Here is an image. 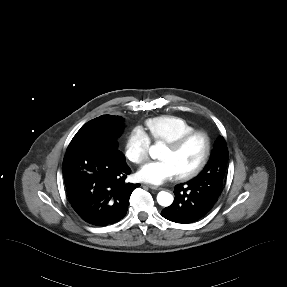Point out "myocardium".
<instances>
[{
  "instance_id": "1",
  "label": "myocardium",
  "mask_w": 287,
  "mask_h": 287,
  "mask_svg": "<svg viewBox=\"0 0 287 287\" xmlns=\"http://www.w3.org/2000/svg\"><path fill=\"white\" fill-rule=\"evenodd\" d=\"M196 137H201L204 141V151L202 157L200 161L193 168L177 175L178 179L181 180L191 179L204 169L211 155L212 150L211 138L205 131L194 130L181 136L177 140L166 144L167 148H169L173 152H178L182 150L191 140H193Z\"/></svg>"
}]
</instances>
